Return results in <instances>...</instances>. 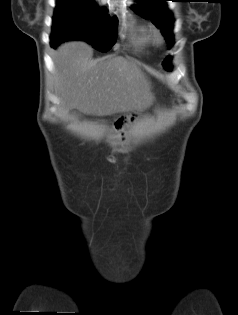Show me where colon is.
Returning <instances> with one entry per match:
<instances>
[{"instance_id": "5ec220e1", "label": "colon", "mask_w": 238, "mask_h": 315, "mask_svg": "<svg viewBox=\"0 0 238 315\" xmlns=\"http://www.w3.org/2000/svg\"><path fill=\"white\" fill-rule=\"evenodd\" d=\"M132 119H133L132 116H123L118 118L114 123L115 129L118 131H122L124 127L128 124V122Z\"/></svg>"}]
</instances>
